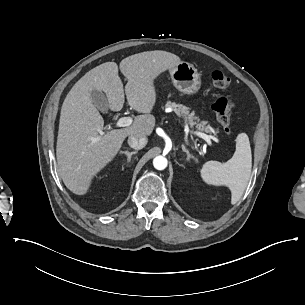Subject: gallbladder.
Wrapping results in <instances>:
<instances>
[{
	"label": "gallbladder",
	"mask_w": 305,
	"mask_h": 305,
	"mask_svg": "<svg viewBox=\"0 0 305 305\" xmlns=\"http://www.w3.org/2000/svg\"><path fill=\"white\" fill-rule=\"evenodd\" d=\"M91 99L94 106L101 112L105 113L109 109V102L106 95L98 90L91 91Z\"/></svg>",
	"instance_id": "obj_1"
}]
</instances>
